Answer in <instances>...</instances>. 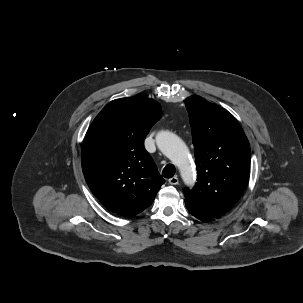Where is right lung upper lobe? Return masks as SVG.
Returning <instances> with one entry per match:
<instances>
[{"label": "right lung upper lobe", "instance_id": "obj_1", "mask_svg": "<svg viewBox=\"0 0 303 303\" xmlns=\"http://www.w3.org/2000/svg\"><path fill=\"white\" fill-rule=\"evenodd\" d=\"M160 118L155 100L131 97L111 101L91 123L82 169L92 193L112 213L130 218L142 212L164 183L144 148L146 135Z\"/></svg>", "mask_w": 303, "mask_h": 303}]
</instances>
